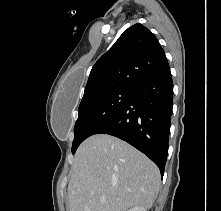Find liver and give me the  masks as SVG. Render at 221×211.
Here are the masks:
<instances>
[{"mask_svg":"<svg viewBox=\"0 0 221 211\" xmlns=\"http://www.w3.org/2000/svg\"><path fill=\"white\" fill-rule=\"evenodd\" d=\"M160 171L144 154L107 134L86 139L75 154L68 184L69 211H126L150 208ZM105 198L104 203L100 202Z\"/></svg>","mask_w":221,"mask_h":211,"instance_id":"1","label":"liver"}]
</instances>
